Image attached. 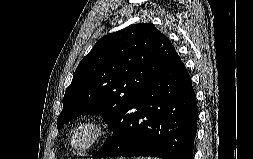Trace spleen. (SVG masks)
I'll use <instances>...</instances> for the list:
<instances>
[{
	"label": "spleen",
	"instance_id": "3e777b00",
	"mask_svg": "<svg viewBox=\"0 0 253 159\" xmlns=\"http://www.w3.org/2000/svg\"><path fill=\"white\" fill-rule=\"evenodd\" d=\"M137 159H159V158H150V157H138Z\"/></svg>",
	"mask_w": 253,
	"mask_h": 159
}]
</instances>
